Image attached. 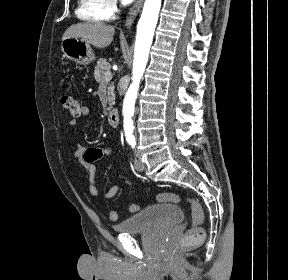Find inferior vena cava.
<instances>
[{
    "instance_id": "inferior-vena-cava-1",
    "label": "inferior vena cava",
    "mask_w": 288,
    "mask_h": 280,
    "mask_svg": "<svg viewBox=\"0 0 288 280\" xmlns=\"http://www.w3.org/2000/svg\"><path fill=\"white\" fill-rule=\"evenodd\" d=\"M129 78H120L118 90H127Z\"/></svg>"
}]
</instances>
